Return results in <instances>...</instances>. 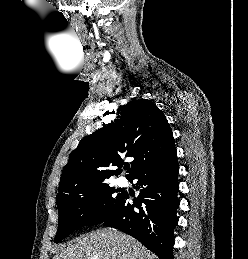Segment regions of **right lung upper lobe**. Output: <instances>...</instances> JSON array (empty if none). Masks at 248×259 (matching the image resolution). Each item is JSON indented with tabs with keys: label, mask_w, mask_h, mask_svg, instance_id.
Instances as JSON below:
<instances>
[{
	"label": "right lung upper lobe",
	"mask_w": 248,
	"mask_h": 259,
	"mask_svg": "<svg viewBox=\"0 0 248 259\" xmlns=\"http://www.w3.org/2000/svg\"><path fill=\"white\" fill-rule=\"evenodd\" d=\"M117 118L81 140L69 156L57 199L72 189L106 182L117 175L124 157H133L127 178L138 170L176 153L174 138L163 112L147 99L117 109Z\"/></svg>",
	"instance_id": "right-lung-upper-lobe-1"
}]
</instances>
